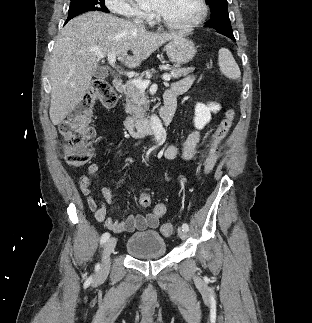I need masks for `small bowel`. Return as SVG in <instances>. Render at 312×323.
<instances>
[{"label": "small bowel", "mask_w": 312, "mask_h": 323, "mask_svg": "<svg viewBox=\"0 0 312 323\" xmlns=\"http://www.w3.org/2000/svg\"><path fill=\"white\" fill-rule=\"evenodd\" d=\"M194 77L188 76L174 83L169 91L178 95L185 93L193 84ZM200 142V134L197 131L192 132L186 138L183 147L180 149L175 145H167L163 149V157L166 160L180 159L185 163H191L194 159L197 147ZM99 170L96 163L86 165L87 174L79 180L81 193L87 197L89 209L94 213L95 219L101 222L105 227L114 232H135L147 229H155L159 226V221L163 216H155L154 211L147 214H132L123 221H115L107 215L106 204L112 202V188L105 186L102 190L104 200L99 204L92 196L91 182L92 178ZM166 211V210H165Z\"/></svg>", "instance_id": "small-bowel-1"}]
</instances>
